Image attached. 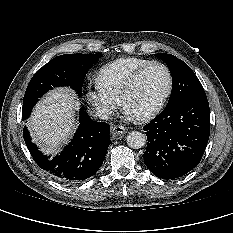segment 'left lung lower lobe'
Masks as SVG:
<instances>
[{
	"mask_svg": "<svg viewBox=\"0 0 233 233\" xmlns=\"http://www.w3.org/2000/svg\"><path fill=\"white\" fill-rule=\"evenodd\" d=\"M148 145L142 155L157 177L175 179L196 167L210 134L207 98H189L169 104L144 126Z\"/></svg>",
	"mask_w": 233,
	"mask_h": 233,
	"instance_id": "1",
	"label": "left lung lower lobe"
}]
</instances>
